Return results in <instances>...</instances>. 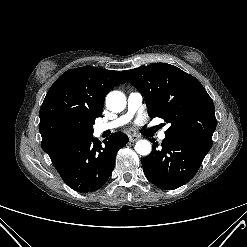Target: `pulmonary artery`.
Returning <instances> with one entry per match:
<instances>
[{
    "label": "pulmonary artery",
    "mask_w": 247,
    "mask_h": 247,
    "mask_svg": "<svg viewBox=\"0 0 247 247\" xmlns=\"http://www.w3.org/2000/svg\"><path fill=\"white\" fill-rule=\"evenodd\" d=\"M143 103V96L140 92L133 91L130 92L127 98V111L119 116L113 119L112 121L100 123L95 126V132L97 134H101L104 131L107 130H113L118 127H121L128 123L134 114L142 107ZM166 137L165 130H162L158 134V138L160 140H164Z\"/></svg>",
    "instance_id": "e3ab8cb5"
}]
</instances>
